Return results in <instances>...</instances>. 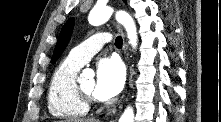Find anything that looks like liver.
<instances>
[{"instance_id": "1", "label": "liver", "mask_w": 221, "mask_h": 122, "mask_svg": "<svg viewBox=\"0 0 221 122\" xmlns=\"http://www.w3.org/2000/svg\"><path fill=\"white\" fill-rule=\"evenodd\" d=\"M62 122H99V120L90 119V118H82V119H71Z\"/></svg>"}]
</instances>
